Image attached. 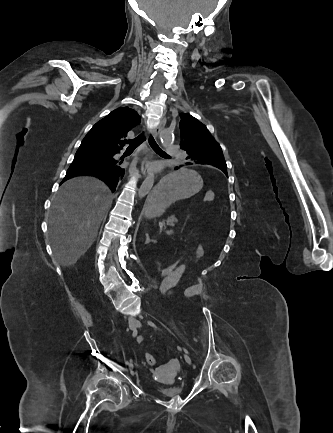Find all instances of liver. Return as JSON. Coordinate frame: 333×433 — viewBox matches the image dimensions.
<instances>
[{"mask_svg":"<svg viewBox=\"0 0 333 433\" xmlns=\"http://www.w3.org/2000/svg\"><path fill=\"white\" fill-rule=\"evenodd\" d=\"M112 200L110 189L94 177H76L61 186L49 211L53 256L61 266L74 265L92 246Z\"/></svg>","mask_w":333,"mask_h":433,"instance_id":"liver-1","label":"liver"}]
</instances>
